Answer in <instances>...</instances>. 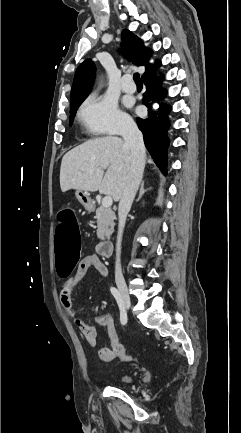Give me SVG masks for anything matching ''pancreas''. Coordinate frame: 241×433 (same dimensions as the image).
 <instances>
[{
    "label": "pancreas",
    "instance_id": "1",
    "mask_svg": "<svg viewBox=\"0 0 241 433\" xmlns=\"http://www.w3.org/2000/svg\"><path fill=\"white\" fill-rule=\"evenodd\" d=\"M94 218L97 220V237L100 240L109 238L114 231L115 213L109 208L99 206Z\"/></svg>",
    "mask_w": 241,
    "mask_h": 433
}]
</instances>
